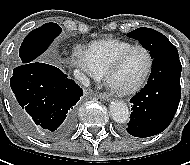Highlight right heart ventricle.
<instances>
[{"label": "right heart ventricle", "instance_id": "e07e8e85", "mask_svg": "<svg viewBox=\"0 0 190 165\" xmlns=\"http://www.w3.org/2000/svg\"><path fill=\"white\" fill-rule=\"evenodd\" d=\"M132 45L120 39H105L91 43L87 52L94 67L103 76L117 55Z\"/></svg>", "mask_w": 190, "mask_h": 165}]
</instances>
